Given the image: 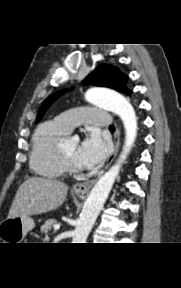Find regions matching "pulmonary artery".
I'll use <instances>...</instances> for the list:
<instances>
[{
	"mask_svg": "<svg viewBox=\"0 0 181 288\" xmlns=\"http://www.w3.org/2000/svg\"><path fill=\"white\" fill-rule=\"evenodd\" d=\"M55 120L68 132L78 125L109 127L107 111L91 107H77L59 114Z\"/></svg>",
	"mask_w": 181,
	"mask_h": 288,
	"instance_id": "e3ab8cb5",
	"label": "pulmonary artery"
}]
</instances>
